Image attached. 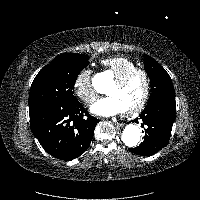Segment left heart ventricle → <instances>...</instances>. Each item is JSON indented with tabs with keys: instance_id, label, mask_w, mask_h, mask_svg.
Masks as SVG:
<instances>
[{
	"instance_id": "1",
	"label": "left heart ventricle",
	"mask_w": 200,
	"mask_h": 200,
	"mask_svg": "<svg viewBox=\"0 0 200 200\" xmlns=\"http://www.w3.org/2000/svg\"><path fill=\"white\" fill-rule=\"evenodd\" d=\"M144 89V78L141 75H137L121 87H116L112 84L108 88L107 94L114 96L119 102L122 110L125 111L132 108L140 101Z\"/></svg>"
}]
</instances>
